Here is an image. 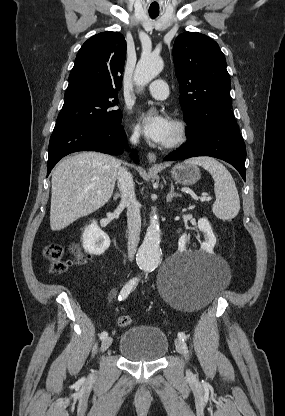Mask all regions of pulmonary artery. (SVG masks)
<instances>
[{
  "mask_svg": "<svg viewBox=\"0 0 285 416\" xmlns=\"http://www.w3.org/2000/svg\"><path fill=\"white\" fill-rule=\"evenodd\" d=\"M162 86H167L166 81L156 79L143 89H147L157 102H164L167 100L168 89Z\"/></svg>",
  "mask_w": 285,
  "mask_h": 416,
  "instance_id": "e3ab8cb5",
  "label": "pulmonary artery"
}]
</instances>
